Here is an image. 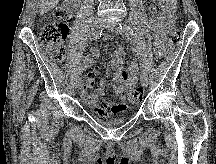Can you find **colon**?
Returning <instances> with one entry per match:
<instances>
[{
  "label": "colon",
  "mask_w": 216,
  "mask_h": 164,
  "mask_svg": "<svg viewBox=\"0 0 216 164\" xmlns=\"http://www.w3.org/2000/svg\"><path fill=\"white\" fill-rule=\"evenodd\" d=\"M71 2L63 0L55 9L51 22H48L41 33V40L46 46V53L56 62H62L66 56L65 42L68 36V22L71 17ZM181 40V32L178 23L173 20L170 24V38L165 48V54L169 55L178 46ZM143 89L137 87L126 96L131 103H140L143 99Z\"/></svg>",
  "instance_id": "obj_1"
}]
</instances>
